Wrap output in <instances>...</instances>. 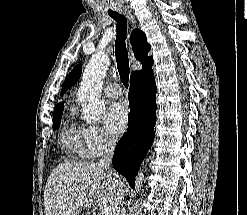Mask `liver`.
Returning a JSON list of instances; mask_svg holds the SVG:
<instances>
[{
    "mask_svg": "<svg viewBox=\"0 0 247 215\" xmlns=\"http://www.w3.org/2000/svg\"><path fill=\"white\" fill-rule=\"evenodd\" d=\"M115 176L122 188L121 179ZM111 178L109 171L96 163L59 164L44 191L46 215H77L87 200L96 206L112 205L115 188Z\"/></svg>",
    "mask_w": 247,
    "mask_h": 215,
    "instance_id": "liver-1",
    "label": "liver"
}]
</instances>
